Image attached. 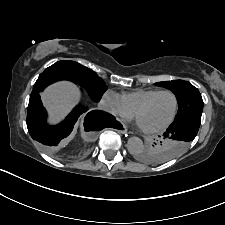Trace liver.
I'll list each match as a JSON object with an SVG mask.
<instances>
[{"label":"liver","instance_id":"1","mask_svg":"<svg viewBox=\"0 0 225 225\" xmlns=\"http://www.w3.org/2000/svg\"><path fill=\"white\" fill-rule=\"evenodd\" d=\"M42 99L53 118L64 116L79 101V92L71 82H58L49 86Z\"/></svg>","mask_w":225,"mask_h":225}]
</instances>
